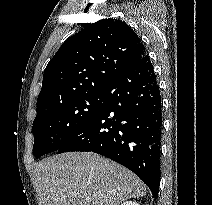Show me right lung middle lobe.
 <instances>
[{
    "instance_id": "right-lung-middle-lobe-1",
    "label": "right lung middle lobe",
    "mask_w": 212,
    "mask_h": 205,
    "mask_svg": "<svg viewBox=\"0 0 212 205\" xmlns=\"http://www.w3.org/2000/svg\"><path fill=\"white\" fill-rule=\"evenodd\" d=\"M101 92L84 95L37 116L33 122V153L36 158L57 151L97 111Z\"/></svg>"
}]
</instances>
